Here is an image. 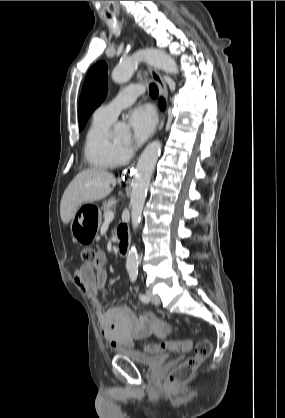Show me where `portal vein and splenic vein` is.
Returning <instances> with one entry per match:
<instances>
[{
	"mask_svg": "<svg viewBox=\"0 0 285 418\" xmlns=\"http://www.w3.org/2000/svg\"><path fill=\"white\" fill-rule=\"evenodd\" d=\"M105 222H111L114 219V212L109 210L105 215Z\"/></svg>",
	"mask_w": 285,
	"mask_h": 418,
	"instance_id": "portal-vein-and-splenic-vein-1",
	"label": "portal vein and splenic vein"
}]
</instances>
